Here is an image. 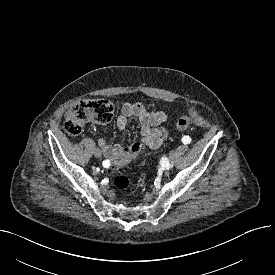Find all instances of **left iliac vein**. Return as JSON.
<instances>
[{"mask_svg":"<svg viewBox=\"0 0 275 275\" xmlns=\"http://www.w3.org/2000/svg\"><path fill=\"white\" fill-rule=\"evenodd\" d=\"M175 157H176V152L175 151H171L170 152V160H169V162H168V164H167V168H171V167H173V161H174V159H175Z\"/></svg>","mask_w":275,"mask_h":275,"instance_id":"obj_1","label":"left iliac vein"}]
</instances>
